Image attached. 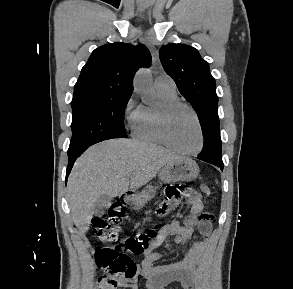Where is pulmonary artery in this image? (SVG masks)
I'll use <instances>...</instances> for the list:
<instances>
[{
	"label": "pulmonary artery",
	"mask_w": 293,
	"mask_h": 289,
	"mask_svg": "<svg viewBox=\"0 0 293 289\" xmlns=\"http://www.w3.org/2000/svg\"><path fill=\"white\" fill-rule=\"evenodd\" d=\"M155 87L158 90H176V86L173 79L166 74L160 75L155 79Z\"/></svg>",
	"instance_id": "obj_1"
}]
</instances>
